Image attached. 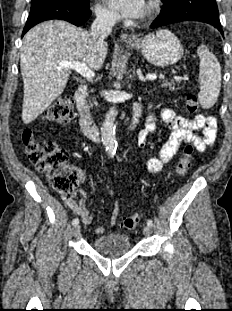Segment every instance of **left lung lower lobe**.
<instances>
[{
    "instance_id": "0a47b994",
    "label": "left lung lower lobe",
    "mask_w": 232,
    "mask_h": 311,
    "mask_svg": "<svg viewBox=\"0 0 232 311\" xmlns=\"http://www.w3.org/2000/svg\"><path fill=\"white\" fill-rule=\"evenodd\" d=\"M163 8L152 22L157 28L181 21H199L216 27L223 35L215 0H161Z\"/></svg>"
}]
</instances>
